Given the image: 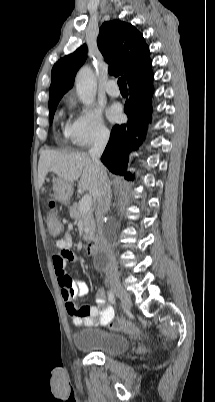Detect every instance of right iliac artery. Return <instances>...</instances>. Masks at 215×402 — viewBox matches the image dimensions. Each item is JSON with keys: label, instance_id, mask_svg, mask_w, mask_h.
<instances>
[{"label": "right iliac artery", "instance_id": "obj_1", "mask_svg": "<svg viewBox=\"0 0 215 402\" xmlns=\"http://www.w3.org/2000/svg\"><path fill=\"white\" fill-rule=\"evenodd\" d=\"M108 300H109L112 304H116V299H115V296H114V294H113L112 291H109V293H108Z\"/></svg>", "mask_w": 215, "mask_h": 402}]
</instances>
